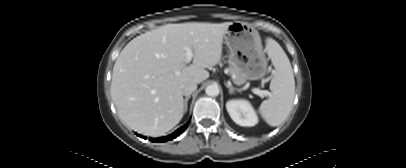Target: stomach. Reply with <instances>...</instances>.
Wrapping results in <instances>:
<instances>
[{
  "instance_id": "obj_1",
  "label": "stomach",
  "mask_w": 406,
  "mask_h": 168,
  "mask_svg": "<svg viewBox=\"0 0 406 168\" xmlns=\"http://www.w3.org/2000/svg\"><path fill=\"white\" fill-rule=\"evenodd\" d=\"M224 39L230 50L229 65L238 70L242 81L240 84L258 80L266 74V51L262 47L259 32L254 27L240 21L231 22Z\"/></svg>"
}]
</instances>
